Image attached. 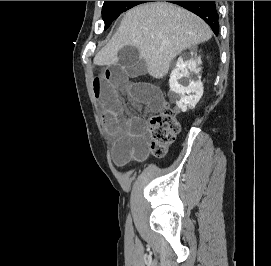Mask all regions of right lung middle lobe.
Segmentation results:
<instances>
[{
	"instance_id": "obj_1",
	"label": "right lung middle lobe",
	"mask_w": 271,
	"mask_h": 266,
	"mask_svg": "<svg viewBox=\"0 0 271 266\" xmlns=\"http://www.w3.org/2000/svg\"><path fill=\"white\" fill-rule=\"evenodd\" d=\"M146 2L150 1H104L102 8V18L105 22L104 29L106 30L122 12Z\"/></svg>"
}]
</instances>
